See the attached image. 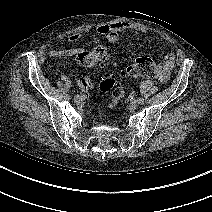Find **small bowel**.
Wrapping results in <instances>:
<instances>
[{
	"instance_id": "c3829d8e",
	"label": "small bowel",
	"mask_w": 212,
	"mask_h": 212,
	"mask_svg": "<svg viewBox=\"0 0 212 212\" xmlns=\"http://www.w3.org/2000/svg\"><path fill=\"white\" fill-rule=\"evenodd\" d=\"M125 30H136L142 33H148L146 30L142 28H137L130 23L126 22H114L109 24L99 25L96 28V32L100 35L106 36V38L110 42H116L119 39V35L122 31ZM82 39V34L74 33L69 37L70 42H78ZM82 51L81 48H64V49H57L51 50L50 56L54 58H61V57H72L78 55ZM175 57L172 53H169L164 56L162 64H161V74L159 80L165 82L169 78L170 70L174 65ZM77 83L82 90V92H86L89 88L94 86L93 81L87 75H82L77 78Z\"/></svg>"
}]
</instances>
